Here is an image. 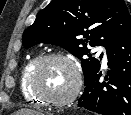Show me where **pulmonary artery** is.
I'll return each instance as SVG.
<instances>
[{
  "mask_svg": "<svg viewBox=\"0 0 131 115\" xmlns=\"http://www.w3.org/2000/svg\"><path fill=\"white\" fill-rule=\"evenodd\" d=\"M98 50L103 55V64L106 65L108 62L106 50L104 48H98Z\"/></svg>",
  "mask_w": 131,
  "mask_h": 115,
  "instance_id": "e3ab8cb5",
  "label": "pulmonary artery"
}]
</instances>
